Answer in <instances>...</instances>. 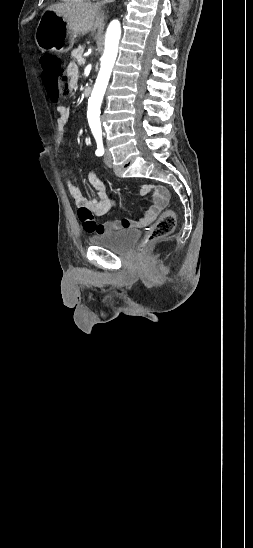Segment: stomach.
Returning a JSON list of instances; mask_svg holds the SVG:
<instances>
[{
	"mask_svg": "<svg viewBox=\"0 0 253 548\" xmlns=\"http://www.w3.org/2000/svg\"><path fill=\"white\" fill-rule=\"evenodd\" d=\"M35 41L41 51L66 53L75 39L65 20L52 11H45L38 23Z\"/></svg>",
	"mask_w": 253,
	"mask_h": 548,
	"instance_id": "1",
	"label": "stomach"
}]
</instances>
